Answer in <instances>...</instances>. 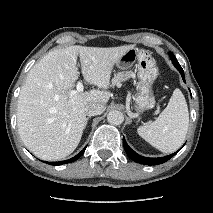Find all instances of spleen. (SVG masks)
<instances>
[{
  "mask_svg": "<svg viewBox=\"0 0 213 213\" xmlns=\"http://www.w3.org/2000/svg\"><path fill=\"white\" fill-rule=\"evenodd\" d=\"M189 127V113L184 95L175 89L167 107L157 119L137 129L150 145L164 153L177 150L183 143Z\"/></svg>",
  "mask_w": 213,
  "mask_h": 213,
  "instance_id": "obj_1",
  "label": "spleen"
}]
</instances>
